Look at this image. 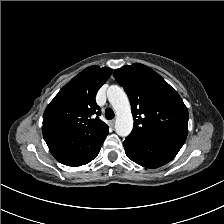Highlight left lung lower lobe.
Listing matches in <instances>:
<instances>
[{"instance_id": "1", "label": "left lung lower lobe", "mask_w": 224, "mask_h": 224, "mask_svg": "<svg viewBox=\"0 0 224 224\" xmlns=\"http://www.w3.org/2000/svg\"><path fill=\"white\" fill-rule=\"evenodd\" d=\"M125 153L135 163L157 168L171 161L181 147L160 140L130 134L124 141Z\"/></svg>"}]
</instances>
